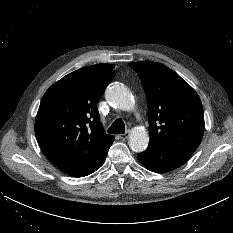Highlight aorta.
Listing matches in <instances>:
<instances>
[{
    "label": "aorta",
    "instance_id": "762f6f07",
    "mask_svg": "<svg viewBox=\"0 0 233 233\" xmlns=\"http://www.w3.org/2000/svg\"><path fill=\"white\" fill-rule=\"evenodd\" d=\"M106 100L113 106L129 111L134 108V101L131 93L124 86L113 84L109 85L105 91ZM149 142V134L144 128H135L129 136V146L135 152H143Z\"/></svg>",
    "mask_w": 233,
    "mask_h": 233
}]
</instances>
